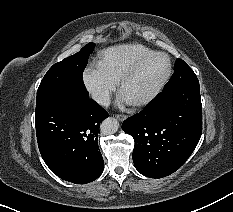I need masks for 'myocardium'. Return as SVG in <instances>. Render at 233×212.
I'll return each instance as SVG.
<instances>
[{
	"label": "myocardium",
	"mask_w": 233,
	"mask_h": 212,
	"mask_svg": "<svg viewBox=\"0 0 233 212\" xmlns=\"http://www.w3.org/2000/svg\"><path fill=\"white\" fill-rule=\"evenodd\" d=\"M157 55H161L164 56L167 59L168 62V67H167V71L166 74L164 75V77L161 79V81L156 85V87L149 93L147 94L145 97H143L140 100L131 102V104L135 107H142L145 106L147 104H149L151 101H153L158 95L159 93L162 91V89L164 88V86L166 85V83L168 82L171 73H172V62H171V58L168 54H166L165 52H161V51H153L151 53H148L146 55H144L143 57H141L139 60H137L127 71L126 73L122 76L121 80H120V91L123 92L124 87L126 86V84L137 74V72L140 70V68L152 57L157 56Z\"/></svg>",
	"instance_id": "1"
}]
</instances>
